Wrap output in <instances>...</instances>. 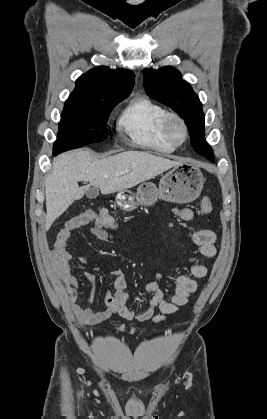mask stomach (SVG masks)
Returning <instances> with one entry per match:
<instances>
[{
    "label": "stomach",
    "instance_id": "obj_1",
    "mask_svg": "<svg viewBox=\"0 0 267 419\" xmlns=\"http://www.w3.org/2000/svg\"><path fill=\"white\" fill-rule=\"evenodd\" d=\"M204 181L199 166L192 162H181L162 176L158 188L152 182H143L136 193L119 191L116 203L125 212L133 211L140 205L151 206L158 199L178 204L189 203L200 195Z\"/></svg>",
    "mask_w": 267,
    "mask_h": 419
}]
</instances>
